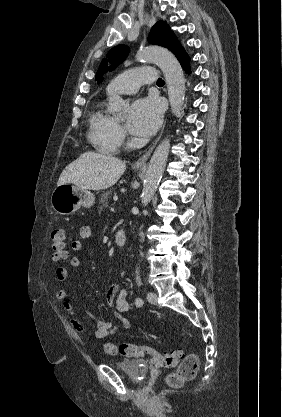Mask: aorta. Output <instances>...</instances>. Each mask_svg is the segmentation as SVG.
I'll return each instance as SVG.
<instances>
[{"label": "aorta", "instance_id": "1", "mask_svg": "<svg viewBox=\"0 0 282 417\" xmlns=\"http://www.w3.org/2000/svg\"><path fill=\"white\" fill-rule=\"evenodd\" d=\"M136 60H154L160 66L165 76L171 110L174 114L179 112L185 98V76L176 56L170 50H167V48H163V46H145V48H139L136 54ZM108 104L109 112H113L117 116H122L129 106L128 102L123 100L121 96H111ZM169 148L170 140L169 138H165V140H162L158 144L153 152V156H151L141 194L143 206H147L148 202H150L162 178ZM135 277L136 279H140L139 263L136 265Z\"/></svg>", "mask_w": 282, "mask_h": 417}]
</instances>
